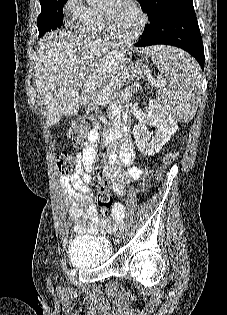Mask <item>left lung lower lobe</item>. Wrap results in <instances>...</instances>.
<instances>
[{"label":"left lung lower lobe","instance_id":"obj_1","mask_svg":"<svg viewBox=\"0 0 227 315\" xmlns=\"http://www.w3.org/2000/svg\"><path fill=\"white\" fill-rule=\"evenodd\" d=\"M165 44L190 53L204 69V49L193 5L176 7L145 26L143 38L134 44L145 47Z\"/></svg>","mask_w":227,"mask_h":315}]
</instances>
